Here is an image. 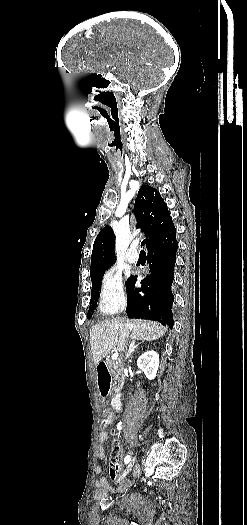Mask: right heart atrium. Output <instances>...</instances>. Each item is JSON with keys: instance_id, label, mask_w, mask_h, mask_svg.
Masks as SVG:
<instances>
[{"instance_id": "obj_1", "label": "right heart atrium", "mask_w": 247, "mask_h": 525, "mask_svg": "<svg viewBox=\"0 0 247 525\" xmlns=\"http://www.w3.org/2000/svg\"><path fill=\"white\" fill-rule=\"evenodd\" d=\"M126 303L123 279L120 272L110 267L103 275L98 290V309L102 314L111 315L123 309Z\"/></svg>"}]
</instances>
